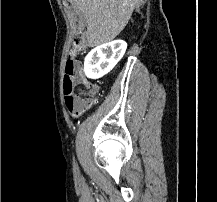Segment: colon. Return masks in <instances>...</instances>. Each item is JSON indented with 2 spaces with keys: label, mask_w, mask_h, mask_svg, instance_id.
I'll use <instances>...</instances> for the list:
<instances>
[{
  "label": "colon",
  "mask_w": 217,
  "mask_h": 202,
  "mask_svg": "<svg viewBox=\"0 0 217 202\" xmlns=\"http://www.w3.org/2000/svg\"><path fill=\"white\" fill-rule=\"evenodd\" d=\"M73 41H78V46H86L88 36H73ZM79 49H70V54H79ZM66 63V73L63 76L65 87L67 91H64V96H67L65 101L69 106V111L81 112L83 108L90 107L96 102L98 86H94L88 83V80H83L85 77L84 73H81V68H87V63H83V59H78L77 55H68ZM69 117L73 119H80V114H74L69 112Z\"/></svg>",
  "instance_id": "obj_1"
}]
</instances>
